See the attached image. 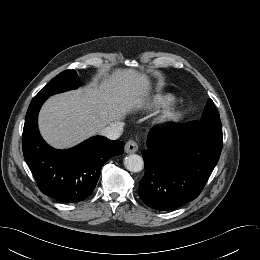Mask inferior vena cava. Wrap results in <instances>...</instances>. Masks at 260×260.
Segmentation results:
<instances>
[{
	"instance_id": "inferior-vena-cava-1",
	"label": "inferior vena cava",
	"mask_w": 260,
	"mask_h": 260,
	"mask_svg": "<svg viewBox=\"0 0 260 260\" xmlns=\"http://www.w3.org/2000/svg\"><path fill=\"white\" fill-rule=\"evenodd\" d=\"M122 131H123V123L116 122L102 129L100 134L110 140H116L121 136Z\"/></svg>"
}]
</instances>
